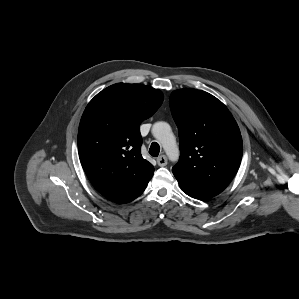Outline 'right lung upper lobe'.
<instances>
[{
    "mask_svg": "<svg viewBox=\"0 0 299 299\" xmlns=\"http://www.w3.org/2000/svg\"><path fill=\"white\" fill-rule=\"evenodd\" d=\"M160 90L118 83L87 105L78 130L81 165L94 188L107 199L127 203L145 190L154 167L141 155L139 125L163 102Z\"/></svg>",
    "mask_w": 299,
    "mask_h": 299,
    "instance_id": "right-lung-upper-lobe-1",
    "label": "right lung upper lobe"
}]
</instances>
